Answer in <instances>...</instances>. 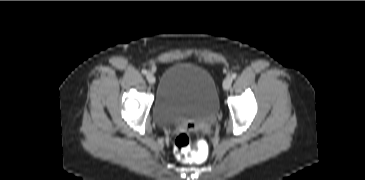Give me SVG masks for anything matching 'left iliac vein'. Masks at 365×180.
<instances>
[{
    "mask_svg": "<svg viewBox=\"0 0 365 180\" xmlns=\"http://www.w3.org/2000/svg\"><path fill=\"white\" fill-rule=\"evenodd\" d=\"M231 84H232V78L231 77H226L224 82H223L224 90H228L231 87Z\"/></svg>",
    "mask_w": 365,
    "mask_h": 180,
    "instance_id": "obj_1",
    "label": "left iliac vein"
}]
</instances>
